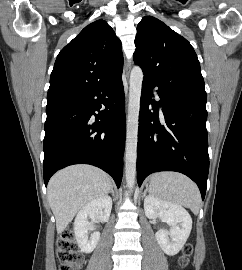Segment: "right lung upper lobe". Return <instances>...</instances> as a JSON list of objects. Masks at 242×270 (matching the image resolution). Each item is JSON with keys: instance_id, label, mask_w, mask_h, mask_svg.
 <instances>
[{"instance_id": "cb5924a9", "label": "right lung upper lobe", "mask_w": 242, "mask_h": 270, "mask_svg": "<svg viewBox=\"0 0 242 270\" xmlns=\"http://www.w3.org/2000/svg\"><path fill=\"white\" fill-rule=\"evenodd\" d=\"M121 41L104 20L86 26L58 54L47 103L70 98L122 74Z\"/></svg>"}]
</instances>
